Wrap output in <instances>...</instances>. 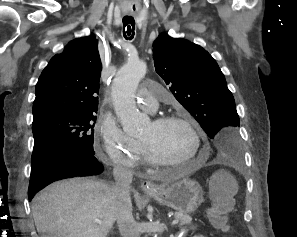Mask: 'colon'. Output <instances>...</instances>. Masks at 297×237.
Instances as JSON below:
<instances>
[{
	"instance_id": "colon-1",
	"label": "colon",
	"mask_w": 297,
	"mask_h": 237,
	"mask_svg": "<svg viewBox=\"0 0 297 237\" xmlns=\"http://www.w3.org/2000/svg\"><path fill=\"white\" fill-rule=\"evenodd\" d=\"M213 206L209 211L212 226L222 232L229 231L226 214L233 206L235 184L226 173H218L212 178Z\"/></svg>"
}]
</instances>
